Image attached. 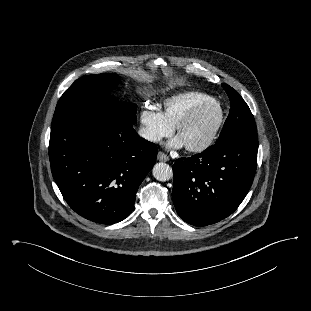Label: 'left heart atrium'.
I'll return each instance as SVG.
<instances>
[{
	"label": "left heart atrium",
	"instance_id": "1",
	"mask_svg": "<svg viewBox=\"0 0 311 311\" xmlns=\"http://www.w3.org/2000/svg\"><path fill=\"white\" fill-rule=\"evenodd\" d=\"M169 146L172 148H181L184 146V143L179 136H177L170 141Z\"/></svg>",
	"mask_w": 311,
	"mask_h": 311
}]
</instances>
